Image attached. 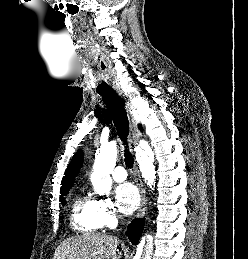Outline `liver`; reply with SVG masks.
<instances>
[{
    "label": "liver",
    "instance_id": "liver-1",
    "mask_svg": "<svg viewBox=\"0 0 248 259\" xmlns=\"http://www.w3.org/2000/svg\"><path fill=\"white\" fill-rule=\"evenodd\" d=\"M118 243L116 237L106 234L74 236L58 246L53 259H120Z\"/></svg>",
    "mask_w": 248,
    "mask_h": 259
}]
</instances>
